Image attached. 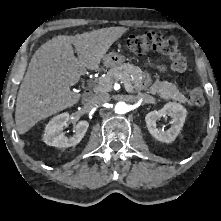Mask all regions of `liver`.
Listing matches in <instances>:
<instances>
[{
  "instance_id": "obj_1",
  "label": "liver",
  "mask_w": 221,
  "mask_h": 221,
  "mask_svg": "<svg viewBox=\"0 0 221 221\" xmlns=\"http://www.w3.org/2000/svg\"><path fill=\"white\" fill-rule=\"evenodd\" d=\"M124 30L109 27L75 36L60 35L43 44L34 53L18 92L15 122L19 134L76 104L81 94L72 92L70 87L78 83L87 69L99 68L106 52Z\"/></svg>"
}]
</instances>
